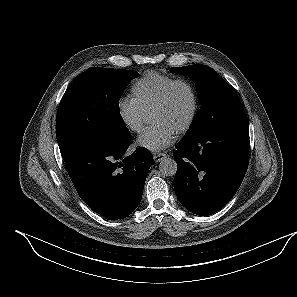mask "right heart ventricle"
I'll use <instances>...</instances> for the list:
<instances>
[{"instance_id":"right-heart-ventricle-1","label":"right heart ventricle","mask_w":297,"mask_h":297,"mask_svg":"<svg viewBox=\"0 0 297 297\" xmlns=\"http://www.w3.org/2000/svg\"><path fill=\"white\" fill-rule=\"evenodd\" d=\"M175 78L155 71L144 73L132 86L133 99L145 113L150 112L165 87Z\"/></svg>"}]
</instances>
